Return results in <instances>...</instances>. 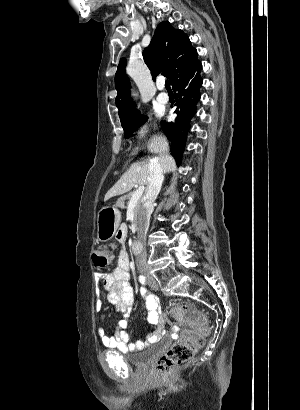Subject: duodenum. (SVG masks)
<instances>
[{
	"label": "duodenum",
	"instance_id": "duodenum-1",
	"mask_svg": "<svg viewBox=\"0 0 300 410\" xmlns=\"http://www.w3.org/2000/svg\"><path fill=\"white\" fill-rule=\"evenodd\" d=\"M140 250H141V244L139 243L138 240L134 241V242L132 243V252H133L134 254H139V253H140Z\"/></svg>",
	"mask_w": 300,
	"mask_h": 410
}]
</instances>
